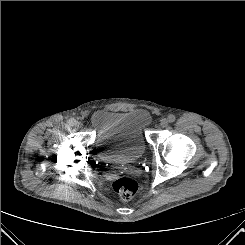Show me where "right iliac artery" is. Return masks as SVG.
Listing matches in <instances>:
<instances>
[{"mask_svg":"<svg viewBox=\"0 0 245 245\" xmlns=\"http://www.w3.org/2000/svg\"><path fill=\"white\" fill-rule=\"evenodd\" d=\"M68 124H69L70 126H74V125L76 124V120H75L74 118H70V119L68 120Z\"/></svg>","mask_w":245,"mask_h":245,"instance_id":"1","label":"right iliac artery"}]
</instances>
